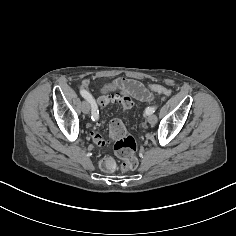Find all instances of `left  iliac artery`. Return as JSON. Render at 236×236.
<instances>
[{"mask_svg":"<svg viewBox=\"0 0 236 236\" xmlns=\"http://www.w3.org/2000/svg\"><path fill=\"white\" fill-rule=\"evenodd\" d=\"M155 110H156V107H148V108L145 110V113H146L147 115H150V114L154 113Z\"/></svg>","mask_w":236,"mask_h":236,"instance_id":"obj_1","label":"left iliac artery"}]
</instances>
